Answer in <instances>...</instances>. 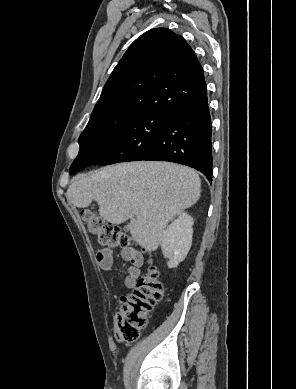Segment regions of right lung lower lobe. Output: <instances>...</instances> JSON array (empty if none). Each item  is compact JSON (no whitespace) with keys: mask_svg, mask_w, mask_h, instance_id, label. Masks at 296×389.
Masks as SVG:
<instances>
[{"mask_svg":"<svg viewBox=\"0 0 296 389\" xmlns=\"http://www.w3.org/2000/svg\"><path fill=\"white\" fill-rule=\"evenodd\" d=\"M212 122L208 101L171 117L169 124L138 157L139 160L170 161L203 173L212 182ZM87 167L77 166L70 174Z\"/></svg>","mask_w":296,"mask_h":389,"instance_id":"right-lung-lower-lobe-1","label":"right lung lower lobe"}]
</instances>
